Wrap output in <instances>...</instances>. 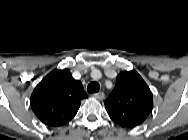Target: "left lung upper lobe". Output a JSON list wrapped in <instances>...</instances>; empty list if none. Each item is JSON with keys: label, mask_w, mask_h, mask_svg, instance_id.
Returning a JSON list of instances; mask_svg holds the SVG:
<instances>
[{"label": "left lung upper lobe", "mask_w": 188, "mask_h": 140, "mask_svg": "<svg viewBox=\"0 0 188 140\" xmlns=\"http://www.w3.org/2000/svg\"><path fill=\"white\" fill-rule=\"evenodd\" d=\"M104 104L115 123L133 128L142 124L151 113L153 96L136 71H124L117 76L115 88Z\"/></svg>", "instance_id": "5c2ea615"}]
</instances>
